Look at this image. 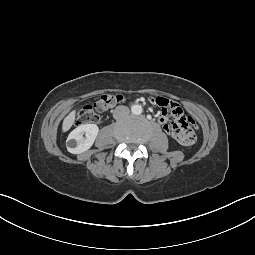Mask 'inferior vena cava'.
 <instances>
[{"label":"inferior vena cava","instance_id":"obj_1","mask_svg":"<svg viewBox=\"0 0 255 255\" xmlns=\"http://www.w3.org/2000/svg\"><path fill=\"white\" fill-rule=\"evenodd\" d=\"M129 113H130L129 108L126 107V106L121 105V106H118V107H116V108L114 109V111H113V117H114L115 119H120V118H122V117H125V116L129 115Z\"/></svg>","mask_w":255,"mask_h":255}]
</instances>
